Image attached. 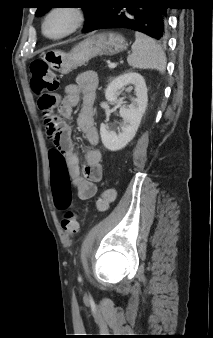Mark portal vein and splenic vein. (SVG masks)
<instances>
[{
    "mask_svg": "<svg viewBox=\"0 0 213 338\" xmlns=\"http://www.w3.org/2000/svg\"><path fill=\"white\" fill-rule=\"evenodd\" d=\"M116 66H117L116 63H114V62H108V67L109 68H115Z\"/></svg>",
    "mask_w": 213,
    "mask_h": 338,
    "instance_id": "portal-vein-and-splenic-vein-1",
    "label": "portal vein and splenic vein"
}]
</instances>
